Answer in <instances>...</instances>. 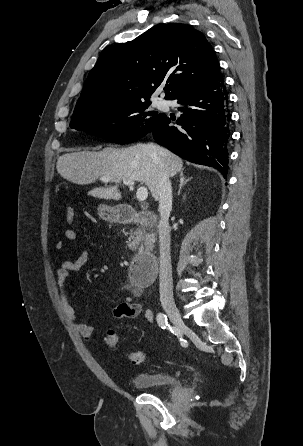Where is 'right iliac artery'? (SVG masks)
Listing matches in <instances>:
<instances>
[{"mask_svg":"<svg viewBox=\"0 0 303 446\" xmlns=\"http://www.w3.org/2000/svg\"><path fill=\"white\" fill-rule=\"evenodd\" d=\"M157 323L162 329H165L168 326L167 316L163 313H158Z\"/></svg>","mask_w":303,"mask_h":446,"instance_id":"obj_1","label":"right iliac artery"}]
</instances>
